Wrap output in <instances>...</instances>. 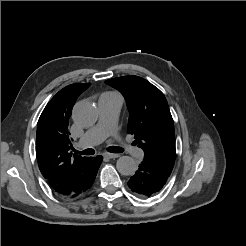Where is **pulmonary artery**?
Returning <instances> with one entry per match:
<instances>
[{
	"mask_svg": "<svg viewBox=\"0 0 246 246\" xmlns=\"http://www.w3.org/2000/svg\"><path fill=\"white\" fill-rule=\"evenodd\" d=\"M122 97L116 93H104L98 99L99 119L95 126L85 132L80 139V147H90L102 142L113 133L117 117L122 106ZM124 148L136 160H141L144 152L141 148H133L124 144Z\"/></svg>",
	"mask_w": 246,
	"mask_h": 246,
	"instance_id": "pulmonary-artery-1",
	"label": "pulmonary artery"
}]
</instances>
